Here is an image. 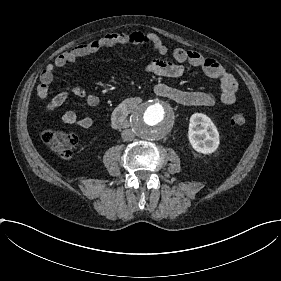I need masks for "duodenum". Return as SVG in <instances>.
<instances>
[{
	"label": "duodenum",
	"instance_id": "obj_1",
	"mask_svg": "<svg viewBox=\"0 0 281 281\" xmlns=\"http://www.w3.org/2000/svg\"><path fill=\"white\" fill-rule=\"evenodd\" d=\"M139 98H129L120 103L113 111L111 122L113 127L119 128L127 123L128 116L136 109L140 104Z\"/></svg>",
	"mask_w": 281,
	"mask_h": 281
}]
</instances>
